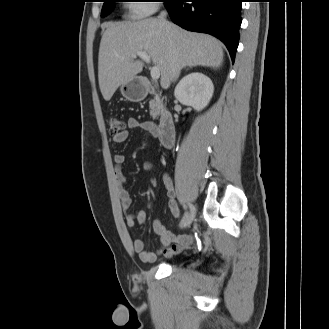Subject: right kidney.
<instances>
[{
	"label": "right kidney",
	"instance_id": "obj_1",
	"mask_svg": "<svg viewBox=\"0 0 329 329\" xmlns=\"http://www.w3.org/2000/svg\"><path fill=\"white\" fill-rule=\"evenodd\" d=\"M213 92L214 86L210 78L203 73L193 72L178 83L174 95L183 105L200 111L208 105Z\"/></svg>",
	"mask_w": 329,
	"mask_h": 329
}]
</instances>
